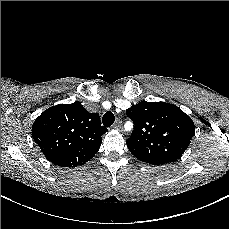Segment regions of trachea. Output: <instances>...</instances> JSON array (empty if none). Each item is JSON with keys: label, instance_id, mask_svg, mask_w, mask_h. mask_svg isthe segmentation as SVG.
Returning <instances> with one entry per match:
<instances>
[{"label": "trachea", "instance_id": "trachea-1", "mask_svg": "<svg viewBox=\"0 0 229 229\" xmlns=\"http://www.w3.org/2000/svg\"><path fill=\"white\" fill-rule=\"evenodd\" d=\"M115 121V116L112 112H106L102 117V123L105 127H110Z\"/></svg>", "mask_w": 229, "mask_h": 229}]
</instances>
